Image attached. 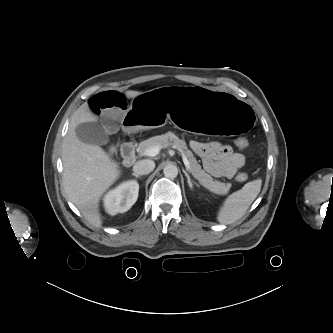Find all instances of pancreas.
Returning a JSON list of instances; mask_svg holds the SVG:
<instances>
[{
  "label": "pancreas",
  "mask_w": 333,
  "mask_h": 333,
  "mask_svg": "<svg viewBox=\"0 0 333 333\" xmlns=\"http://www.w3.org/2000/svg\"><path fill=\"white\" fill-rule=\"evenodd\" d=\"M169 144L174 145L175 148L184 152L190 162V168L192 175L199 181V183L210 190L211 192L218 195H225L228 193L231 184L222 183L213 178L206 173L197 162L192 151L187 148L186 142L179 139L174 133L167 132L162 135L151 137L147 140L142 141L137 148V151L141 155H145V150L153 146H162L165 147Z\"/></svg>",
  "instance_id": "pancreas-1"
}]
</instances>
